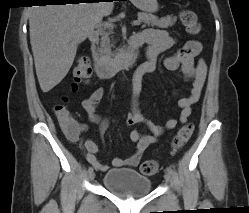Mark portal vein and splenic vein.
I'll return each instance as SVG.
<instances>
[{"mask_svg":"<svg viewBox=\"0 0 249 213\" xmlns=\"http://www.w3.org/2000/svg\"><path fill=\"white\" fill-rule=\"evenodd\" d=\"M132 24H133L134 26H138V25L141 24V20H140V19L134 20ZM102 25H103L104 27H112V26H113L111 22H104Z\"/></svg>","mask_w":249,"mask_h":213,"instance_id":"portal-vein-and-splenic-vein-1","label":"portal vein and splenic vein"}]
</instances>
